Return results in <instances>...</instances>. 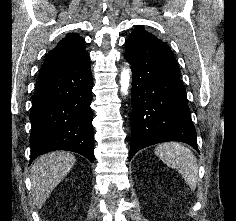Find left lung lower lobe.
<instances>
[{"instance_id":"0a47b994","label":"left lung lower lobe","mask_w":236,"mask_h":221,"mask_svg":"<svg viewBox=\"0 0 236 221\" xmlns=\"http://www.w3.org/2000/svg\"><path fill=\"white\" fill-rule=\"evenodd\" d=\"M125 58L133 74L130 159L167 141L184 142L198 151L186 90L168 45L147 31H133Z\"/></svg>"}]
</instances>
